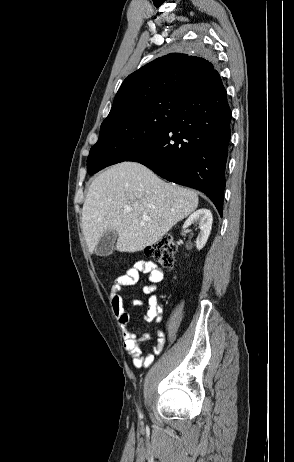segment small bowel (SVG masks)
Instances as JSON below:
<instances>
[{
    "mask_svg": "<svg viewBox=\"0 0 294 462\" xmlns=\"http://www.w3.org/2000/svg\"><path fill=\"white\" fill-rule=\"evenodd\" d=\"M140 274L148 276V283L143 286V293L148 296V308L144 315V320L149 323H159L162 320V305L156 295L157 284L163 280V271L153 262L138 260L123 275L118 276L112 283L110 289V303L113 312L122 328L123 344L126 352L132 359L136 368L148 367L164 346L165 336L160 329L157 330V343L153 346L151 353L144 354L141 345L150 339V334L145 332L141 335L136 334L128 328L129 314L125 308L121 291L128 286L135 285ZM135 306H142V301L134 300Z\"/></svg>",
    "mask_w": 294,
    "mask_h": 462,
    "instance_id": "c3829d8e",
    "label": "small bowel"
}]
</instances>
